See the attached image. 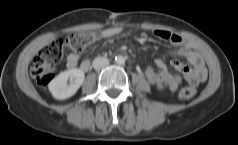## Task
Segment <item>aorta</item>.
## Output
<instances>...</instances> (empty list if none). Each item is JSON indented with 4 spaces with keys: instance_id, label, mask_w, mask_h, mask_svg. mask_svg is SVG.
<instances>
[{
    "instance_id": "1",
    "label": "aorta",
    "mask_w": 238,
    "mask_h": 145,
    "mask_svg": "<svg viewBox=\"0 0 238 145\" xmlns=\"http://www.w3.org/2000/svg\"><path fill=\"white\" fill-rule=\"evenodd\" d=\"M115 62L118 65H123L125 63V57L122 56V55H118V56L115 57Z\"/></svg>"
}]
</instances>
